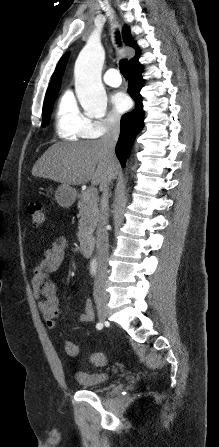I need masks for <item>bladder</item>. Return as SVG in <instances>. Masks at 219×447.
<instances>
[{"label":"bladder","instance_id":"1","mask_svg":"<svg viewBox=\"0 0 219 447\" xmlns=\"http://www.w3.org/2000/svg\"><path fill=\"white\" fill-rule=\"evenodd\" d=\"M73 377L83 389H92L107 383L110 375L103 372H86L77 370L73 373Z\"/></svg>","mask_w":219,"mask_h":447}]
</instances>
